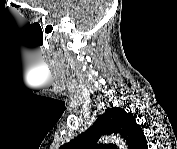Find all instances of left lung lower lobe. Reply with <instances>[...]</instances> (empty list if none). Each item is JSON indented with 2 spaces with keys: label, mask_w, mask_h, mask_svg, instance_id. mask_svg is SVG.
Masks as SVG:
<instances>
[{
  "label": "left lung lower lobe",
  "mask_w": 177,
  "mask_h": 149,
  "mask_svg": "<svg viewBox=\"0 0 177 149\" xmlns=\"http://www.w3.org/2000/svg\"><path fill=\"white\" fill-rule=\"evenodd\" d=\"M141 148H147V141H146V138H143L142 139V144H141V146H140Z\"/></svg>",
  "instance_id": "obj_1"
}]
</instances>
